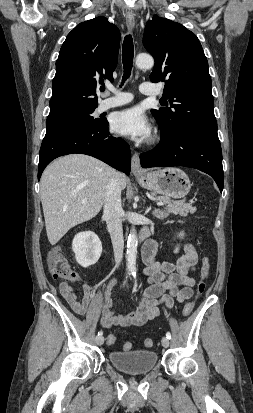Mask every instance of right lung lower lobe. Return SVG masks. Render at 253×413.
Wrapping results in <instances>:
<instances>
[{"label": "right lung lower lobe", "mask_w": 253, "mask_h": 413, "mask_svg": "<svg viewBox=\"0 0 253 413\" xmlns=\"http://www.w3.org/2000/svg\"><path fill=\"white\" fill-rule=\"evenodd\" d=\"M72 153L93 156L126 175L130 174V148L122 139L110 136L108 122L105 121L95 129L67 130L45 135L40 149L38 179L53 159Z\"/></svg>", "instance_id": "right-lung-lower-lobe-1"}]
</instances>
